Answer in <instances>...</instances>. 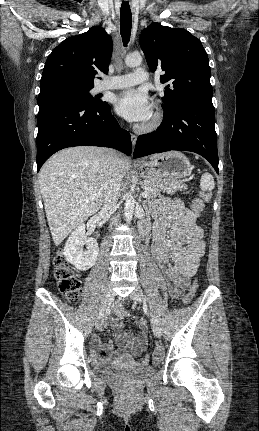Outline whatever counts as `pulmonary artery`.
Instances as JSON below:
<instances>
[{"instance_id": "1", "label": "pulmonary artery", "mask_w": 259, "mask_h": 431, "mask_svg": "<svg viewBox=\"0 0 259 431\" xmlns=\"http://www.w3.org/2000/svg\"><path fill=\"white\" fill-rule=\"evenodd\" d=\"M148 73L142 68H137L133 73L119 75L105 79L100 85L101 90L123 89L132 87L148 80Z\"/></svg>"}]
</instances>
